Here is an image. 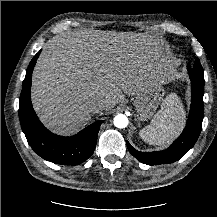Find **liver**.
<instances>
[{
	"mask_svg": "<svg viewBox=\"0 0 217 217\" xmlns=\"http://www.w3.org/2000/svg\"><path fill=\"white\" fill-rule=\"evenodd\" d=\"M138 42L96 31L59 34L48 40L33 71L31 96L41 120L67 134L91 118L89 104L104 100L110 110L124 99L158 85L153 71L170 61L146 65Z\"/></svg>",
	"mask_w": 217,
	"mask_h": 217,
	"instance_id": "obj_1",
	"label": "liver"
}]
</instances>
